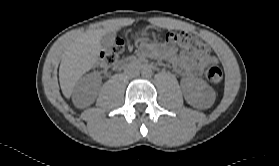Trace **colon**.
Wrapping results in <instances>:
<instances>
[{"label":"colon","mask_w":279,"mask_h":166,"mask_svg":"<svg viewBox=\"0 0 279 166\" xmlns=\"http://www.w3.org/2000/svg\"><path fill=\"white\" fill-rule=\"evenodd\" d=\"M160 41H164L170 46L180 48L184 52L202 56L206 53L205 44L194 35L187 32H166L156 35ZM124 50V42L121 39L105 49L97 62V71L103 73L113 67L120 58ZM206 79L212 84H219L223 79V70L217 64H210L205 70Z\"/></svg>","instance_id":"1"}]
</instances>
